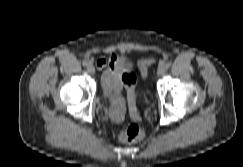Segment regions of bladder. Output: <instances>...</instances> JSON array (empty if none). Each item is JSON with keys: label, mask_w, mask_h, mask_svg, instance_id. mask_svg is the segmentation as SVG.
Listing matches in <instances>:
<instances>
[{"label": "bladder", "mask_w": 243, "mask_h": 167, "mask_svg": "<svg viewBox=\"0 0 243 167\" xmlns=\"http://www.w3.org/2000/svg\"><path fill=\"white\" fill-rule=\"evenodd\" d=\"M118 69L120 73L131 71V62L128 59H122L119 62ZM143 94L147 99L150 97V92L147 89L144 90Z\"/></svg>", "instance_id": "31cf9c89"}]
</instances>
